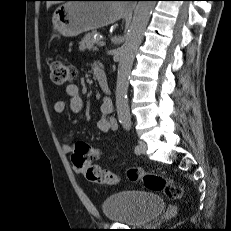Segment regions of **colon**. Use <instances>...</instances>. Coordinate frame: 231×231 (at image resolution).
Segmentation results:
<instances>
[{"label":"colon","instance_id":"colon-1","mask_svg":"<svg viewBox=\"0 0 231 231\" xmlns=\"http://www.w3.org/2000/svg\"><path fill=\"white\" fill-rule=\"evenodd\" d=\"M50 68L51 80L56 86H68L75 78L76 71L74 67L63 61H53ZM100 156L101 152L99 149L79 141L75 144L72 161L76 168L84 171L87 180L100 184H117L119 178L115 173L93 164V161ZM128 177L133 181L141 179L148 190L164 192L170 198H179L182 195V190L179 186L158 173L131 169L128 172Z\"/></svg>","mask_w":231,"mask_h":231}]
</instances>
